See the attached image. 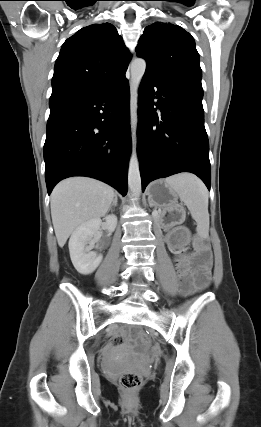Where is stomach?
Here are the masks:
<instances>
[{"label": "stomach", "instance_id": "obj_1", "mask_svg": "<svg viewBox=\"0 0 261 427\" xmlns=\"http://www.w3.org/2000/svg\"><path fill=\"white\" fill-rule=\"evenodd\" d=\"M177 198V192L163 180L155 181L149 186L148 199L154 206L179 209Z\"/></svg>", "mask_w": 261, "mask_h": 427}]
</instances>
